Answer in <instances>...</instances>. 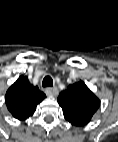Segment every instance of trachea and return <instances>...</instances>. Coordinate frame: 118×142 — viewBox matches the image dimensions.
I'll return each instance as SVG.
<instances>
[{
	"instance_id": "1",
	"label": "trachea",
	"mask_w": 118,
	"mask_h": 142,
	"mask_svg": "<svg viewBox=\"0 0 118 142\" xmlns=\"http://www.w3.org/2000/svg\"><path fill=\"white\" fill-rule=\"evenodd\" d=\"M42 86L43 87H52L53 86V80H52V78L50 76H46L43 79Z\"/></svg>"
}]
</instances>
